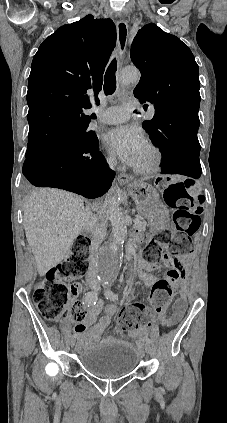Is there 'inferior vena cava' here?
<instances>
[{
  "label": "inferior vena cava",
  "mask_w": 227,
  "mask_h": 423,
  "mask_svg": "<svg viewBox=\"0 0 227 423\" xmlns=\"http://www.w3.org/2000/svg\"><path fill=\"white\" fill-rule=\"evenodd\" d=\"M107 162L110 168H113V166H116L117 164L116 156H109V158H107ZM99 219H102V217L94 215V213L87 208L86 223L87 225H90L91 233L90 263L87 271V279L90 283H96V281H99L97 271L98 249L100 243H102L106 235L105 223L104 221H102V223H97Z\"/></svg>",
  "instance_id": "602c4592"
}]
</instances>
